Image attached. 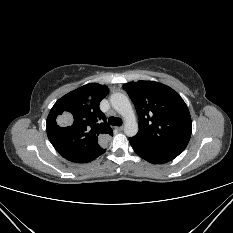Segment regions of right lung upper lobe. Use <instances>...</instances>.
Masks as SVG:
<instances>
[{"instance_id":"right-lung-upper-lobe-1","label":"right lung upper lobe","mask_w":233,"mask_h":233,"mask_svg":"<svg viewBox=\"0 0 233 233\" xmlns=\"http://www.w3.org/2000/svg\"><path fill=\"white\" fill-rule=\"evenodd\" d=\"M108 94L105 85L86 84L60 98L47 118V135L59 154L76 163L89 162L103 154L112 129L99 109Z\"/></svg>"}]
</instances>
